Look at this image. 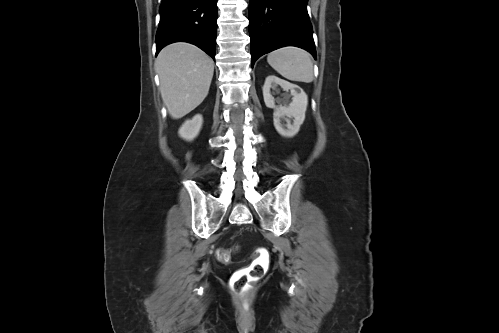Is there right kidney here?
<instances>
[{
    "instance_id": "obj_1",
    "label": "right kidney",
    "mask_w": 499,
    "mask_h": 333,
    "mask_svg": "<svg viewBox=\"0 0 499 333\" xmlns=\"http://www.w3.org/2000/svg\"><path fill=\"white\" fill-rule=\"evenodd\" d=\"M202 123L203 118L200 114L195 115L190 120H186L178 131L179 136L187 141H192L199 134Z\"/></svg>"
}]
</instances>
